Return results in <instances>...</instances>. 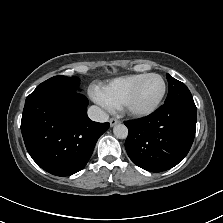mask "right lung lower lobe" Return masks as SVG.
I'll return each instance as SVG.
<instances>
[{"label": "right lung lower lobe", "mask_w": 223, "mask_h": 223, "mask_svg": "<svg viewBox=\"0 0 223 223\" xmlns=\"http://www.w3.org/2000/svg\"><path fill=\"white\" fill-rule=\"evenodd\" d=\"M87 98L75 91L25 102L21 132L32 159L45 171L69 176L85 167L109 123L87 116Z\"/></svg>", "instance_id": "right-lung-lower-lobe-1"}]
</instances>
